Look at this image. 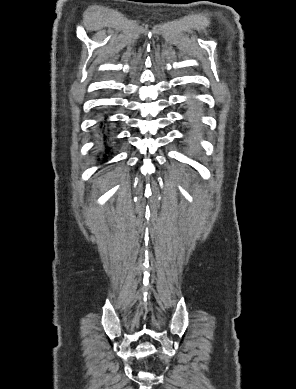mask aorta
<instances>
[{"label": "aorta", "instance_id": "obj_1", "mask_svg": "<svg viewBox=\"0 0 296 389\" xmlns=\"http://www.w3.org/2000/svg\"><path fill=\"white\" fill-rule=\"evenodd\" d=\"M190 129H191L193 132H196V131L199 129V126H198L196 123H193V124L190 126Z\"/></svg>", "mask_w": 296, "mask_h": 389}]
</instances>
